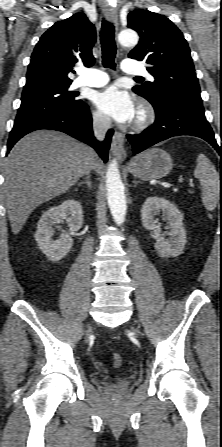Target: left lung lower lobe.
I'll return each instance as SVG.
<instances>
[{
  "label": "left lung lower lobe",
  "instance_id": "1",
  "mask_svg": "<svg viewBox=\"0 0 222 447\" xmlns=\"http://www.w3.org/2000/svg\"><path fill=\"white\" fill-rule=\"evenodd\" d=\"M153 107L156 113L154 124L141 134L127 135L134 154L170 137L191 135L206 140L222 156V147L218 146L214 138V133L205 118L203 106L171 97L165 99L159 106Z\"/></svg>",
  "mask_w": 222,
  "mask_h": 447
}]
</instances>
